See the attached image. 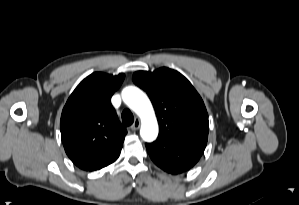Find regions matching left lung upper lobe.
<instances>
[{"label":"left lung upper lobe","mask_w":299,"mask_h":205,"mask_svg":"<svg viewBox=\"0 0 299 205\" xmlns=\"http://www.w3.org/2000/svg\"><path fill=\"white\" fill-rule=\"evenodd\" d=\"M133 81L152 101L160 124L158 139L176 137L207 143L205 105L182 74L163 67L154 72L137 71Z\"/></svg>","instance_id":"obj_1"}]
</instances>
